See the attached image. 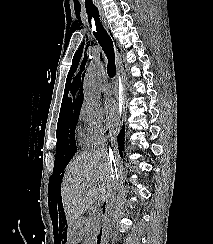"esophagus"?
<instances>
[{
  "mask_svg": "<svg viewBox=\"0 0 213 244\" xmlns=\"http://www.w3.org/2000/svg\"><path fill=\"white\" fill-rule=\"evenodd\" d=\"M117 59H118L119 69L121 72L122 82H125V81L127 82V77H126V73H125V69H124V63L121 59V53H120L119 49H117Z\"/></svg>",
  "mask_w": 213,
  "mask_h": 244,
  "instance_id": "34e87169",
  "label": "esophagus"
}]
</instances>
